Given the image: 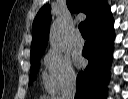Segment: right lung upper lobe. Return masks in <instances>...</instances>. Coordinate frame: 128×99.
<instances>
[{
	"instance_id": "cb5924a9",
	"label": "right lung upper lobe",
	"mask_w": 128,
	"mask_h": 99,
	"mask_svg": "<svg viewBox=\"0 0 128 99\" xmlns=\"http://www.w3.org/2000/svg\"><path fill=\"white\" fill-rule=\"evenodd\" d=\"M71 12L86 14V25L94 21L107 7L105 0H66ZM50 5L43 6L37 13L32 26L31 58L43 54L49 37L51 22Z\"/></svg>"
}]
</instances>
